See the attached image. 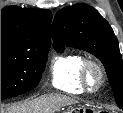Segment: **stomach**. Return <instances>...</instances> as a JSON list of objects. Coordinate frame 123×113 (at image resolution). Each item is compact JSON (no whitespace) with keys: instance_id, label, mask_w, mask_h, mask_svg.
Segmentation results:
<instances>
[{"instance_id":"obj_1","label":"stomach","mask_w":123,"mask_h":113,"mask_svg":"<svg viewBox=\"0 0 123 113\" xmlns=\"http://www.w3.org/2000/svg\"><path fill=\"white\" fill-rule=\"evenodd\" d=\"M88 108L84 106H74L68 108L64 113H85Z\"/></svg>"}]
</instances>
